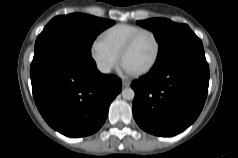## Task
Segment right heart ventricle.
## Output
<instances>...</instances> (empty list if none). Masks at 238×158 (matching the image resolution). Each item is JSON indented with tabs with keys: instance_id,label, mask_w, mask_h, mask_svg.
<instances>
[{
	"instance_id": "obj_1",
	"label": "right heart ventricle",
	"mask_w": 238,
	"mask_h": 158,
	"mask_svg": "<svg viewBox=\"0 0 238 158\" xmlns=\"http://www.w3.org/2000/svg\"><path fill=\"white\" fill-rule=\"evenodd\" d=\"M142 27L131 24H117L106 29L102 35V41L108 45L114 52L120 55L121 50L127 41Z\"/></svg>"
}]
</instances>
